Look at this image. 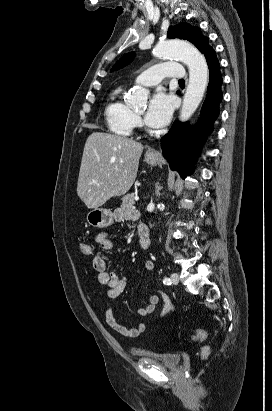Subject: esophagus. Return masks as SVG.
I'll use <instances>...</instances> for the list:
<instances>
[{"label":"esophagus","mask_w":272,"mask_h":411,"mask_svg":"<svg viewBox=\"0 0 272 411\" xmlns=\"http://www.w3.org/2000/svg\"><path fill=\"white\" fill-rule=\"evenodd\" d=\"M149 153H150L151 155L158 156V152H156V151L151 150V151H149Z\"/></svg>","instance_id":"1"}]
</instances>
